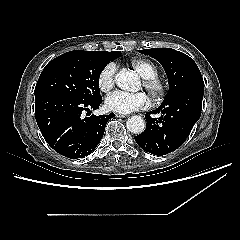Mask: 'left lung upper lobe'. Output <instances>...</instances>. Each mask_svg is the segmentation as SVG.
Instances as JSON below:
<instances>
[{
  "label": "left lung upper lobe",
  "mask_w": 240,
  "mask_h": 240,
  "mask_svg": "<svg viewBox=\"0 0 240 240\" xmlns=\"http://www.w3.org/2000/svg\"><path fill=\"white\" fill-rule=\"evenodd\" d=\"M150 55L163 66L169 82L165 100L173 94L194 85H204L202 75L193 59L171 48H152L139 50Z\"/></svg>",
  "instance_id": "5c2ea615"
}]
</instances>
